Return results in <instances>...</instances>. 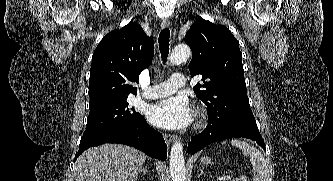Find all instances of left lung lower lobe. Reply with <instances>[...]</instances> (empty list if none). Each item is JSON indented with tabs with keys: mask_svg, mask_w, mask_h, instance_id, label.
Masks as SVG:
<instances>
[{
	"mask_svg": "<svg viewBox=\"0 0 333 181\" xmlns=\"http://www.w3.org/2000/svg\"><path fill=\"white\" fill-rule=\"evenodd\" d=\"M249 138L256 141L265 151V144L259 131L236 122L234 118L225 113H209V123L205 130L192 137L187 152L194 154L205 146L229 138Z\"/></svg>",
	"mask_w": 333,
	"mask_h": 181,
	"instance_id": "1",
	"label": "left lung lower lobe"
}]
</instances>
